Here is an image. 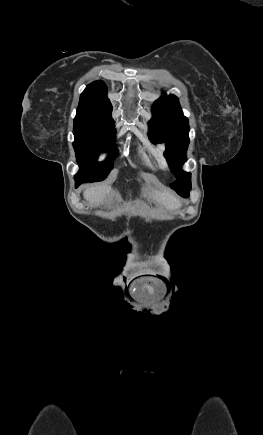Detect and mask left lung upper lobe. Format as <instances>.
<instances>
[{
    "mask_svg": "<svg viewBox=\"0 0 263 435\" xmlns=\"http://www.w3.org/2000/svg\"><path fill=\"white\" fill-rule=\"evenodd\" d=\"M152 112L150 140L153 143H166L165 157L172 172L179 178L170 186L181 196L187 197L191 189V174L180 170V167L186 161L189 144L188 119L183 116L178 98L174 95L159 98L153 104Z\"/></svg>",
    "mask_w": 263,
    "mask_h": 435,
    "instance_id": "left-lung-upper-lobe-1",
    "label": "left lung upper lobe"
}]
</instances>
